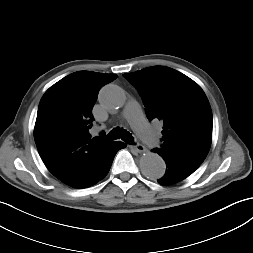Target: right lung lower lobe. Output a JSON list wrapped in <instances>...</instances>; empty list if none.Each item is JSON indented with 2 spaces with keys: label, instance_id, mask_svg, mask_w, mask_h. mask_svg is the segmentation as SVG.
I'll use <instances>...</instances> for the list:
<instances>
[{
  "label": "right lung lower lobe",
  "instance_id": "98d812e1",
  "mask_svg": "<svg viewBox=\"0 0 253 253\" xmlns=\"http://www.w3.org/2000/svg\"><path fill=\"white\" fill-rule=\"evenodd\" d=\"M125 147H126V144L120 141L108 143L107 147L104 149L103 154L101 156V159H102L101 173L98 179L92 185L96 184L98 181L102 180L107 175L111 167L112 161L114 159V156L120 149L125 148Z\"/></svg>",
  "mask_w": 253,
  "mask_h": 253
}]
</instances>
